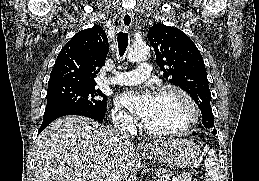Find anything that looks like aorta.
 <instances>
[{"label":"aorta","mask_w":259,"mask_h":181,"mask_svg":"<svg viewBox=\"0 0 259 181\" xmlns=\"http://www.w3.org/2000/svg\"><path fill=\"white\" fill-rule=\"evenodd\" d=\"M149 55V47L145 43L133 44L128 51L127 58L131 62L145 60Z\"/></svg>","instance_id":"aorta-1"}]
</instances>
